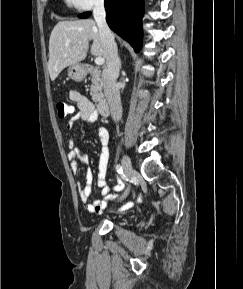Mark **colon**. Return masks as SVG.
<instances>
[{"label":"colon","instance_id":"colon-1","mask_svg":"<svg viewBox=\"0 0 243 289\" xmlns=\"http://www.w3.org/2000/svg\"><path fill=\"white\" fill-rule=\"evenodd\" d=\"M59 118H66L73 113V107L66 102H59L56 106Z\"/></svg>","mask_w":243,"mask_h":289}]
</instances>
